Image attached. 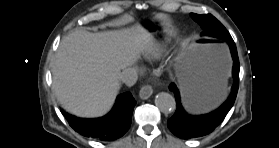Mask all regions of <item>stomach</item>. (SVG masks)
I'll return each mask as SVG.
<instances>
[{"mask_svg": "<svg viewBox=\"0 0 279 148\" xmlns=\"http://www.w3.org/2000/svg\"><path fill=\"white\" fill-rule=\"evenodd\" d=\"M135 27L160 46H169L176 39L175 26L153 11L140 12ZM227 50L225 40L215 35L182 44L179 83L186 107L191 111H207L224 98L221 86L229 66Z\"/></svg>", "mask_w": 279, "mask_h": 148, "instance_id": "1", "label": "stomach"}]
</instances>
